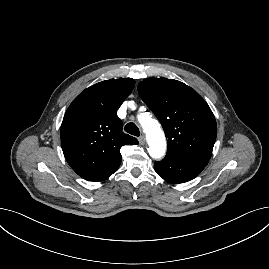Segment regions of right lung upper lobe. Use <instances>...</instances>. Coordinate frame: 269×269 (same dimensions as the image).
I'll list each match as a JSON object with an SVG mask.
<instances>
[{"instance_id": "right-lung-upper-lobe-1", "label": "right lung upper lobe", "mask_w": 269, "mask_h": 269, "mask_svg": "<svg viewBox=\"0 0 269 269\" xmlns=\"http://www.w3.org/2000/svg\"><path fill=\"white\" fill-rule=\"evenodd\" d=\"M131 78L110 79L85 89L70 104L61 125L62 150L71 168L89 181L109 178L121 164L120 148L138 144L122 132L117 110L131 93Z\"/></svg>"}]
</instances>
